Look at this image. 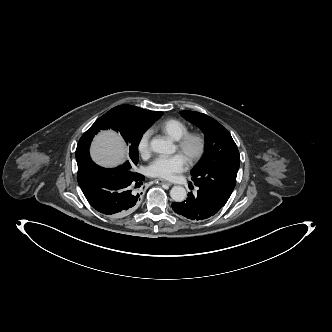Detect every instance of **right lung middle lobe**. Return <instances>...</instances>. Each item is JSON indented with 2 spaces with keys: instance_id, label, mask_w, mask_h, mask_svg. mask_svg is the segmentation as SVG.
<instances>
[{
  "instance_id": "1",
  "label": "right lung middle lobe",
  "mask_w": 332,
  "mask_h": 332,
  "mask_svg": "<svg viewBox=\"0 0 332 332\" xmlns=\"http://www.w3.org/2000/svg\"><path fill=\"white\" fill-rule=\"evenodd\" d=\"M162 112H139L131 105H120L112 108L83 134L76 149L78 172L83 171L90 163L89 146L94 135L99 130L114 129L120 132L128 145V160L120 165L127 173H133V167L137 165L138 145L144 132L162 116Z\"/></svg>"
}]
</instances>
